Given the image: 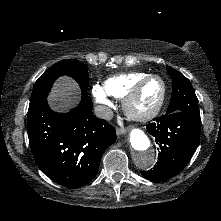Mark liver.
Returning <instances> with one entry per match:
<instances>
[{
  "instance_id": "1",
  "label": "liver",
  "mask_w": 221,
  "mask_h": 221,
  "mask_svg": "<svg viewBox=\"0 0 221 221\" xmlns=\"http://www.w3.org/2000/svg\"><path fill=\"white\" fill-rule=\"evenodd\" d=\"M48 100L53 110L66 111L79 102L80 89L73 79L63 76L54 84Z\"/></svg>"
}]
</instances>
